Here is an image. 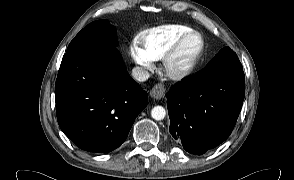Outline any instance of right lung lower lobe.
Masks as SVG:
<instances>
[{
    "label": "right lung lower lobe",
    "mask_w": 294,
    "mask_h": 180,
    "mask_svg": "<svg viewBox=\"0 0 294 180\" xmlns=\"http://www.w3.org/2000/svg\"><path fill=\"white\" fill-rule=\"evenodd\" d=\"M55 99L57 120L68 138L85 151L107 153L125 141L148 94L113 48L62 61Z\"/></svg>",
    "instance_id": "98d812e1"
}]
</instances>
